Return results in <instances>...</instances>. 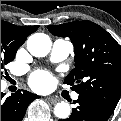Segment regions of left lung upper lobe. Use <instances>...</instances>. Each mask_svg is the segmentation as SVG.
Returning <instances> with one entry per match:
<instances>
[{"label":"left lung upper lobe","instance_id":"left-lung-upper-lobe-1","mask_svg":"<svg viewBox=\"0 0 121 121\" xmlns=\"http://www.w3.org/2000/svg\"><path fill=\"white\" fill-rule=\"evenodd\" d=\"M48 30L59 37H69L74 45L75 68L64 83L73 90L99 100L115 109L121 96V47L99 25L74 21Z\"/></svg>","mask_w":121,"mask_h":121}]
</instances>
